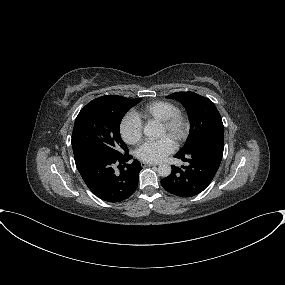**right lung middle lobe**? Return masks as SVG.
Masks as SVG:
<instances>
[{
	"label": "right lung middle lobe",
	"instance_id": "dd1d6c3e",
	"mask_svg": "<svg viewBox=\"0 0 285 285\" xmlns=\"http://www.w3.org/2000/svg\"><path fill=\"white\" fill-rule=\"evenodd\" d=\"M140 101L112 95L89 102L75 120L73 153L95 151L110 156L126 154L128 148L120 136V123L126 112Z\"/></svg>",
	"mask_w": 285,
	"mask_h": 285
}]
</instances>
